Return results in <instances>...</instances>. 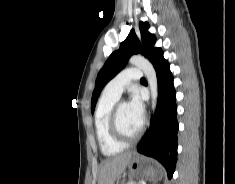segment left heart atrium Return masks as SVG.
Instances as JSON below:
<instances>
[{"mask_svg": "<svg viewBox=\"0 0 235 184\" xmlns=\"http://www.w3.org/2000/svg\"><path fill=\"white\" fill-rule=\"evenodd\" d=\"M127 106L131 113L139 120L144 118V105L137 92H133Z\"/></svg>", "mask_w": 235, "mask_h": 184, "instance_id": "1", "label": "left heart atrium"}]
</instances>
